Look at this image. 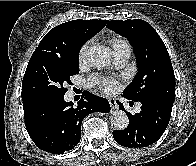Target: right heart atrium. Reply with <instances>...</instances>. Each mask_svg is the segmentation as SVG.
Segmentation results:
<instances>
[{"mask_svg":"<svg viewBox=\"0 0 196 166\" xmlns=\"http://www.w3.org/2000/svg\"><path fill=\"white\" fill-rule=\"evenodd\" d=\"M90 49V42H86L79 50V62L84 63L88 58V53Z\"/></svg>","mask_w":196,"mask_h":166,"instance_id":"right-heart-atrium-1","label":"right heart atrium"}]
</instances>
